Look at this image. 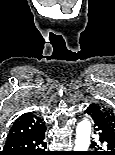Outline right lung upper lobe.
Returning <instances> with one entry per match:
<instances>
[{
  "label": "right lung upper lobe",
  "instance_id": "cb5924a9",
  "mask_svg": "<svg viewBox=\"0 0 115 155\" xmlns=\"http://www.w3.org/2000/svg\"><path fill=\"white\" fill-rule=\"evenodd\" d=\"M44 129V122L41 118L31 113H25L14 122L6 142L33 135Z\"/></svg>",
  "mask_w": 115,
  "mask_h": 155
}]
</instances>
